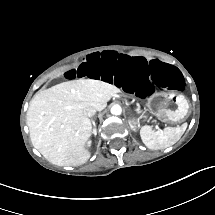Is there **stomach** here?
I'll return each instance as SVG.
<instances>
[{
	"label": "stomach",
	"mask_w": 215,
	"mask_h": 215,
	"mask_svg": "<svg viewBox=\"0 0 215 215\" xmlns=\"http://www.w3.org/2000/svg\"><path fill=\"white\" fill-rule=\"evenodd\" d=\"M149 111L161 121L180 122L186 119L189 104L181 94L159 92L150 97L147 103ZM131 124H137L133 120Z\"/></svg>",
	"instance_id": "0dacf381"
}]
</instances>
